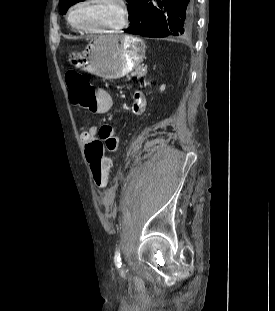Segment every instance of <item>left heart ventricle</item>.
<instances>
[{
    "label": "left heart ventricle",
    "mask_w": 275,
    "mask_h": 311,
    "mask_svg": "<svg viewBox=\"0 0 275 311\" xmlns=\"http://www.w3.org/2000/svg\"><path fill=\"white\" fill-rule=\"evenodd\" d=\"M118 18V10L112 3L104 0H93L77 7L71 20L74 25L94 27L114 23Z\"/></svg>",
    "instance_id": "b2bd125f"
}]
</instances>
